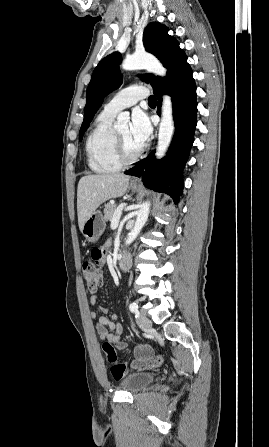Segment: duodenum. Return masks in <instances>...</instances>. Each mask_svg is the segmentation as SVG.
Returning <instances> with one entry per match:
<instances>
[{"mask_svg":"<svg viewBox=\"0 0 269 447\" xmlns=\"http://www.w3.org/2000/svg\"><path fill=\"white\" fill-rule=\"evenodd\" d=\"M131 264H132V260H131L130 255L128 253H125L122 256L120 263H119L120 270L122 272H127L129 270V268L131 267Z\"/></svg>","mask_w":269,"mask_h":447,"instance_id":"410a0bca","label":"duodenum"}]
</instances>
